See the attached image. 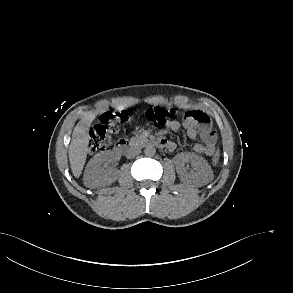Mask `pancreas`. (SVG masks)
Listing matches in <instances>:
<instances>
[{
	"mask_svg": "<svg viewBox=\"0 0 293 293\" xmlns=\"http://www.w3.org/2000/svg\"><path fill=\"white\" fill-rule=\"evenodd\" d=\"M147 141V137L143 134L141 135H136L135 137H133L131 139V142L134 143V144H142L144 142Z\"/></svg>",
	"mask_w": 293,
	"mask_h": 293,
	"instance_id": "obj_1",
	"label": "pancreas"
}]
</instances>
